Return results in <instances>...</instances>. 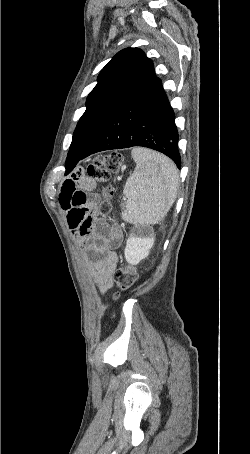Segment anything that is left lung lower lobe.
Listing matches in <instances>:
<instances>
[{
    "mask_svg": "<svg viewBox=\"0 0 250 454\" xmlns=\"http://www.w3.org/2000/svg\"><path fill=\"white\" fill-rule=\"evenodd\" d=\"M174 120L162 82L155 77L103 123L83 154L67 156L65 174L91 154L133 146L162 152L180 169L178 131Z\"/></svg>",
    "mask_w": 250,
    "mask_h": 454,
    "instance_id": "1",
    "label": "left lung lower lobe"
}]
</instances>
